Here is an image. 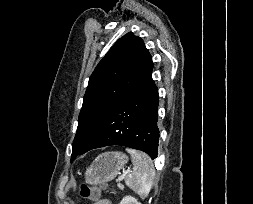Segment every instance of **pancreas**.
<instances>
[{"label": "pancreas", "mask_w": 253, "mask_h": 204, "mask_svg": "<svg viewBox=\"0 0 253 204\" xmlns=\"http://www.w3.org/2000/svg\"><path fill=\"white\" fill-rule=\"evenodd\" d=\"M118 187H119L121 190L124 189V185H122V184H118Z\"/></svg>", "instance_id": "cf45deb5"}]
</instances>
